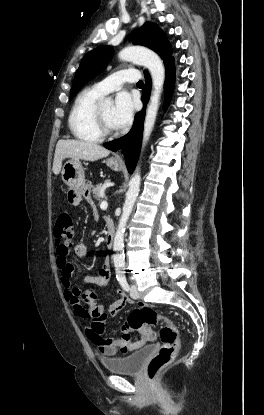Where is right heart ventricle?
Wrapping results in <instances>:
<instances>
[{
    "instance_id": "1",
    "label": "right heart ventricle",
    "mask_w": 264,
    "mask_h": 415,
    "mask_svg": "<svg viewBox=\"0 0 264 415\" xmlns=\"http://www.w3.org/2000/svg\"><path fill=\"white\" fill-rule=\"evenodd\" d=\"M99 98L100 95L93 90H84L76 97L68 118L69 129L75 139L94 143L102 140L93 119Z\"/></svg>"
}]
</instances>
